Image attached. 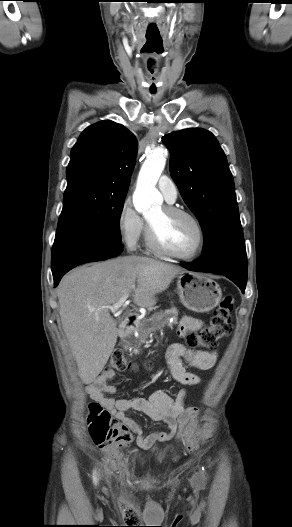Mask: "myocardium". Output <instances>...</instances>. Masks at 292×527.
<instances>
[{"instance_id": "1", "label": "myocardium", "mask_w": 292, "mask_h": 527, "mask_svg": "<svg viewBox=\"0 0 292 527\" xmlns=\"http://www.w3.org/2000/svg\"><path fill=\"white\" fill-rule=\"evenodd\" d=\"M163 210L167 214H170V215H182V216L189 218L194 223L197 229V233H198L197 243L194 249L187 254H180V253L173 252L161 244L153 226L147 220L146 241H147L148 246L153 251H155L156 253L160 255L167 256L173 259L183 260V261L192 260L196 258L198 255H200L205 246L206 233H205L204 227L201 221L199 220V218L191 211L181 208V207H177V206L164 205Z\"/></svg>"}]
</instances>
